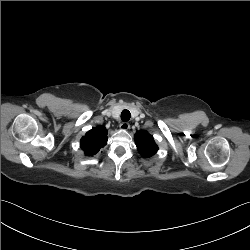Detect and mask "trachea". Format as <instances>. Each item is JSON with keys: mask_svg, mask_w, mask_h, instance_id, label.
Wrapping results in <instances>:
<instances>
[{"mask_svg": "<svg viewBox=\"0 0 250 250\" xmlns=\"http://www.w3.org/2000/svg\"><path fill=\"white\" fill-rule=\"evenodd\" d=\"M130 117H131V113L128 110H123L122 111V113H121V120L123 122L129 121Z\"/></svg>", "mask_w": 250, "mask_h": 250, "instance_id": "1", "label": "trachea"}]
</instances>
